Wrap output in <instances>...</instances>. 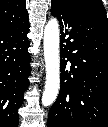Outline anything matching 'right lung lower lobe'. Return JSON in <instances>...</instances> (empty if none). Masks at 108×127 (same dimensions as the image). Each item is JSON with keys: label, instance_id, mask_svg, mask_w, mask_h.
<instances>
[{"label": "right lung lower lobe", "instance_id": "98d812e1", "mask_svg": "<svg viewBox=\"0 0 108 127\" xmlns=\"http://www.w3.org/2000/svg\"><path fill=\"white\" fill-rule=\"evenodd\" d=\"M29 23L0 32V126L17 127L30 75Z\"/></svg>", "mask_w": 108, "mask_h": 127}]
</instances>
